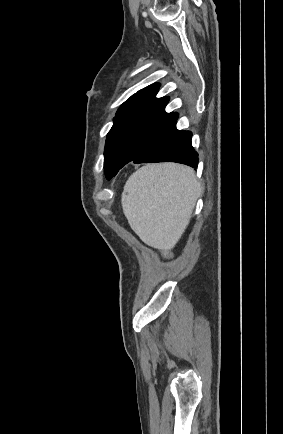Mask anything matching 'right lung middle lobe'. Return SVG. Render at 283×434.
<instances>
[{
	"mask_svg": "<svg viewBox=\"0 0 283 434\" xmlns=\"http://www.w3.org/2000/svg\"><path fill=\"white\" fill-rule=\"evenodd\" d=\"M176 120L136 115L115 119L107 135L104 171L109 180L128 162L135 160L145 148L164 134Z\"/></svg>",
	"mask_w": 283,
	"mask_h": 434,
	"instance_id": "1",
	"label": "right lung middle lobe"
}]
</instances>
